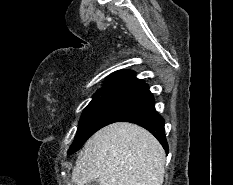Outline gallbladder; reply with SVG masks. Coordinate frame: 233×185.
I'll list each match as a JSON object with an SVG mask.
<instances>
[{"label": "gallbladder", "instance_id": "bac80fb5", "mask_svg": "<svg viewBox=\"0 0 233 185\" xmlns=\"http://www.w3.org/2000/svg\"><path fill=\"white\" fill-rule=\"evenodd\" d=\"M85 185H99V182L97 180L91 181L89 183H86Z\"/></svg>", "mask_w": 233, "mask_h": 185}]
</instances>
